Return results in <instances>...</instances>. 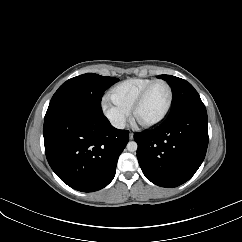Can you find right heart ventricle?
I'll return each instance as SVG.
<instances>
[{"instance_id": "right-heart-ventricle-1", "label": "right heart ventricle", "mask_w": 242, "mask_h": 242, "mask_svg": "<svg viewBox=\"0 0 242 242\" xmlns=\"http://www.w3.org/2000/svg\"><path fill=\"white\" fill-rule=\"evenodd\" d=\"M152 81L154 80L150 78H130L124 80L111 89L110 99L129 113L137 97Z\"/></svg>"}]
</instances>
